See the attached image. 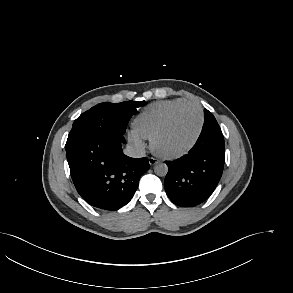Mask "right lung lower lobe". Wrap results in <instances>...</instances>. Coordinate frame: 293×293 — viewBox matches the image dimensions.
Listing matches in <instances>:
<instances>
[{
  "label": "right lung lower lobe",
  "mask_w": 293,
  "mask_h": 293,
  "mask_svg": "<svg viewBox=\"0 0 293 293\" xmlns=\"http://www.w3.org/2000/svg\"><path fill=\"white\" fill-rule=\"evenodd\" d=\"M124 134L103 132L66 150L73 183L90 205L118 210L137 190L150 166L146 157L131 158L122 151Z\"/></svg>",
  "instance_id": "obj_1"
}]
</instances>
